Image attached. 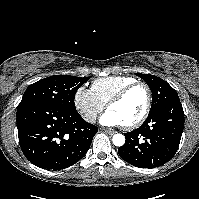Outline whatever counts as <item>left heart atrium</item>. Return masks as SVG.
Segmentation results:
<instances>
[{
    "label": "left heart atrium",
    "instance_id": "39dd6f15",
    "mask_svg": "<svg viewBox=\"0 0 199 199\" xmlns=\"http://www.w3.org/2000/svg\"><path fill=\"white\" fill-rule=\"evenodd\" d=\"M100 123L105 126L122 125L121 120L110 110L101 116Z\"/></svg>",
    "mask_w": 199,
    "mask_h": 199
}]
</instances>
